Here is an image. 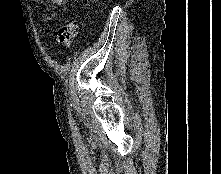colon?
<instances>
[{"mask_svg":"<svg viewBox=\"0 0 221 174\" xmlns=\"http://www.w3.org/2000/svg\"><path fill=\"white\" fill-rule=\"evenodd\" d=\"M78 24L74 19L65 20L55 32L54 39L61 46L68 47L77 34Z\"/></svg>","mask_w":221,"mask_h":174,"instance_id":"obj_1","label":"colon"}]
</instances>
